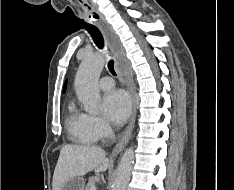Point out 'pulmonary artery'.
Masks as SVG:
<instances>
[{
	"mask_svg": "<svg viewBox=\"0 0 234 190\" xmlns=\"http://www.w3.org/2000/svg\"><path fill=\"white\" fill-rule=\"evenodd\" d=\"M99 87L104 91H109L114 88V81L109 76H104L99 81Z\"/></svg>",
	"mask_w": 234,
	"mask_h": 190,
	"instance_id": "pulmonary-artery-1",
	"label": "pulmonary artery"
}]
</instances>
